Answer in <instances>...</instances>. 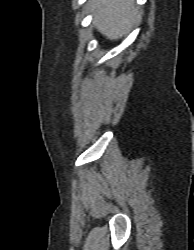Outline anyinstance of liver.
I'll return each mask as SVG.
<instances>
[{
    "label": "liver",
    "mask_w": 194,
    "mask_h": 250,
    "mask_svg": "<svg viewBox=\"0 0 194 250\" xmlns=\"http://www.w3.org/2000/svg\"><path fill=\"white\" fill-rule=\"evenodd\" d=\"M96 29L110 40L126 35L140 17L134 0H90Z\"/></svg>",
    "instance_id": "obj_1"
}]
</instances>
